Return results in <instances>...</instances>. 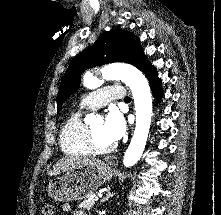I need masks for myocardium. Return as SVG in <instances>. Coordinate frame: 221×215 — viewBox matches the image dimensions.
<instances>
[{
    "label": "myocardium",
    "instance_id": "1",
    "mask_svg": "<svg viewBox=\"0 0 221 215\" xmlns=\"http://www.w3.org/2000/svg\"><path fill=\"white\" fill-rule=\"evenodd\" d=\"M87 145L91 152L96 154H107L114 150L115 145L100 146L94 137L93 131L90 126L87 127Z\"/></svg>",
    "mask_w": 221,
    "mask_h": 215
}]
</instances>
